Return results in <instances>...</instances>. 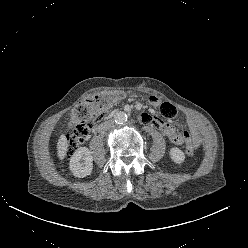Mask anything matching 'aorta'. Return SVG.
<instances>
[{
  "instance_id": "762f6f07",
  "label": "aorta",
  "mask_w": 248,
  "mask_h": 248,
  "mask_svg": "<svg viewBox=\"0 0 248 248\" xmlns=\"http://www.w3.org/2000/svg\"><path fill=\"white\" fill-rule=\"evenodd\" d=\"M114 121L119 124H123L127 121V114L123 111H118L114 115Z\"/></svg>"
}]
</instances>
